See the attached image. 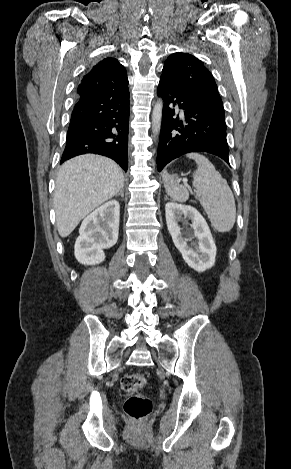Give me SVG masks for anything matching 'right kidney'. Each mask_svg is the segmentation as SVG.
Wrapping results in <instances>:
<instances>
[{
    "instance_id": "obj_1",
    "label": "right kidney",
    "mask_w": 291,
    "mask_h": 469,
    "mask_svg": "<svg viewBox=\"0 0 291 469\" xmlns=\"http://www.w3.org/2000/svg\"><path fill=\"white\" fill-rule=\"evenodd\" d=\"M120 205L111 200L88 215L81 224L75 242V257L83 265L104 261V249L116 244L119 233Z\"/></svg>"
}]
</instances>
